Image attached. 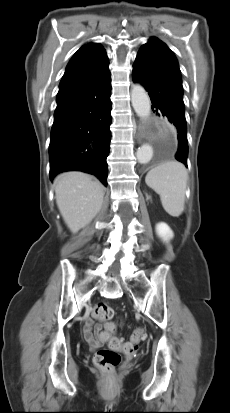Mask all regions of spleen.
<instances>
[{
  "label": "spleen",
  "mask_w": 230,
  "mask_h": 413,
  "mask_svg": "<svg viewBox=\"0 0 230 413\" xmlns=\"http://www.w3.org/2000/svg\"><path fill=\"white\" fill-rule=\"evenodd\" d=\"M188 172L183 164L168 161L151 169L145 178L146 184L160 196L164 210L179 217L185 204Z\"/></svg>",
  "instance_id": "3e777b00"
}]
</instances>
